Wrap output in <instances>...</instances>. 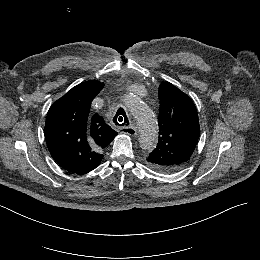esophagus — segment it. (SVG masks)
I'll return each instance as SVG.
<instances>
[{"label":"esophagus","mask_w":260,"mask_h":260,"mask_svg":"<svg viewBox=\"0 0 260 260\" xmlns=\"http://www.w3.org/2000/svg\"><path fill=\"white\" fill-rule=\"evenodd\" d=\"M119 132L129 136L136 135V128L134 126H122L118 128Z\"/></svg>","instance_id":"esophagus-1"}]
</instances>
